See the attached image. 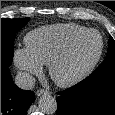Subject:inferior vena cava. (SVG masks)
I'll return each instance as SVG.
<instances>
[{
  "label": "inferior vena cava",
  "mask_w": 115,
  "mask_h": 115,
  "mask_svg": "<svg viewBox=\"0 0 115 115\" xmlns=\"http://www.w3.org/2000/svg\"><path fill=\"white\" fill-rule=\"evenodd\" d=\"M35 78L27 72H18L15 77V84L21 89L31 90L35 86Z\"/></svg>",
  "instance_id": "obj_1"
}]
</instances>
